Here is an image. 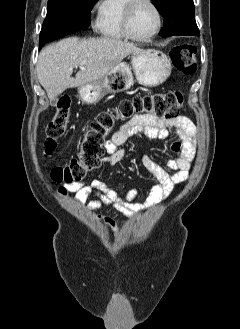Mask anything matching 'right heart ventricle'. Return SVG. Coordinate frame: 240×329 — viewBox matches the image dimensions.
Listing matches in <instances>:
<instances>
[{
    "label": "right heart ventricle",
    "mask_w": 240,
    "mask_h": 329,
    "mask_svg": "<svg viewBox=\"0 0 240 329\" xmlns=\"http://www.w3.org/2000/svg\"><path fill=\"white\" fill-rule=\"evenodd\" d=\"M129 0H101L95 22L96 30L105 38L114 41L130 39L123 30V15Z\"/></svg>",
    "instance_id": "1"
}]
</instances>
